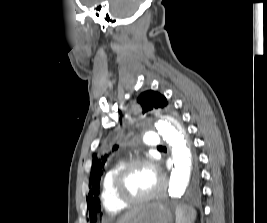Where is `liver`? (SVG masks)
<instances>
[{
  "instance_id": "obj_1",
  "label": "liver",
  "mask_w": 267,
  "mask_h": 223,
  "mask_svg": "<svg viewBox=\"0 0 267 223\" xmlns=\"http://www.w3.org/2000/svg\"><path fill=\"white\" fill-rule=\"evenodd\" d=\"M140 208L141 207H135L129 210L117 221V223H126L130 218H132L139 212Z\"/></svg>"
}]
</instances>
